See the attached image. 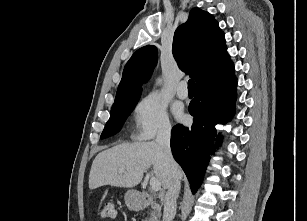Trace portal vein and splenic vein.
<instances>
[{
  "mask_svg": "<svg viewBox=\"0 0 307 221\" xmlns=\"http://www.w3.org/2000/svg\"><path fill=\"white\" fill-rule=\"evenodd\" d=\"M123 171L121 170L120 173H122ZM150 187L151 189L154 191V192H158L160 189H161V183L160 181L155 178V177H152L150 179Z\"/></svg>",
  "mask_w": 307,
  "mask_h": 221,
  "instance_id": "18ae733b",
  "label": "portal vein and splenic vein"
}]
</instances>
